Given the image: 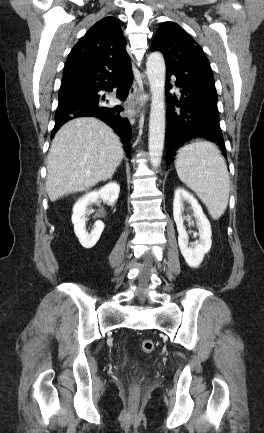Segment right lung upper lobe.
Listing matches in <instances>:
<instances>
[{
  "mask_svg": "<svg viewBox=\"0 0 264 433\" xmlns=\"http://www.w3.org/2000/svg\"><path fill=\"white\" fill-rule=\"evenodd\" d=\"M129 64L120 24L116 18L109 16L94 24L73 47L63 77L101 69L116 70Z\"/></svg>",
  "mask_w": 264,
  "mask_h": 433,
  "instance_id": "right-lung-upper-lobe-1",
  "label": "right lung upper lobe"
}]
</instances>
